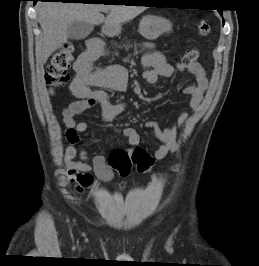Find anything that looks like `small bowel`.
<instances>
[{
	"label": "small bowel",
	"instance_id": "small-bowel-1",
	"mask_svg": "<svg viewBox=\"0 0 259 266\" xmlns=\"http://www.w3.org/2000/svg\"><path fill=\"white\" fill-rule=\"evenodd\" d=\"M104 53L102 44L94 40L90 43L87 51L82 53L74 64L75 76L70 84L71 95L75 98L63 110V122L66 127L77 133L86 134L88 124L77 122L76 116L83 111L99 104L101 117L105 122H111L117 115L122 113L126 105L124 103H113L110 101L106 89L122 91L127 86L128 74L122 66H109L95 68L94 62ZM141 62L146 68L143 77L149 84H154L159 77L168 78L175 70L188 71L195 76V82L184 88V93L190 97L189 109L196 111L203 99L208 87V79L202 65L198 62L192 64L177 63L175 66L168 63L164 54L159 51L145 52L141 56ZM188 118L187 111H181L176 123L169 127H161L157 121H146L145 126L151 129L157 140L159 148L153 154V160H162L177 150L176 128L185 124ZM119 132L127 139L129 144L136 146L141 142V136L134 128L126 127ZM77 151L73 145L66 149L68 159H73ZM79 160L70 163L68 175L70 180L76 184L79 192L94 188L96 179L102 182L112 180L114 172L106 157L99 153L89 162L86 150H81ZM93 171L94 174L91 172Z\"/></svg>",
	"mask_w": 259,
	"mask_h": 266
}]
</instances>
